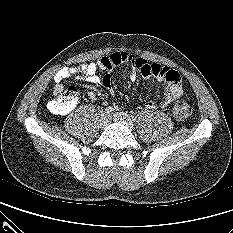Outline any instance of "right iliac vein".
Returning a JSON list of instances; mask_svg holds the SVG:
<instances>
[{
	"label": "right iliac vein",
	"instance_id": "1",
	"mask_svg": "<svg viewBox=\"0 0 233 233\" xmlns=\"http://www.w3.org/2000/svg\"><path fill=\"white\" fill-rule=\"evenodd\" d=\"M110 122V116L108 114L102 113L99 120V127L105 128Z\"/></svg>",
	"mask_w": 233,
	"mask_h": 233
}]
</instances>
